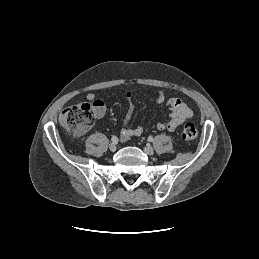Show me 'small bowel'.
<instances>
[{
	"instance_id": "1",
	"label": "small bowel",
	"mask_w": 259,
	"mask_h": 259,
	"mask_svg": "<svg viewBox=\"0 0 259 259\" xmlns=\"http://www.w3.org/2000/svg\"><path fill=\"white\" fill-rule=\"evenodd\" d=\"M128 98L127 112L124 118V127L121 130V140L127 141L132 137L140 136L144 133L145 129L142 126L131 128L129 123L133 117L134 104L131 101L132 93L127 92ZM87 99L95 104V116L101 118L105 112V106L103 101L95 94L88 93ZM156 102L158 104H166L170 110V118L166 122H159L156 127L160 130L174 131L176 130L185 120L193 117L192 109L179 98L166 99L163 91H158L156 95Z\"/></svg>"
}]
</instances>
